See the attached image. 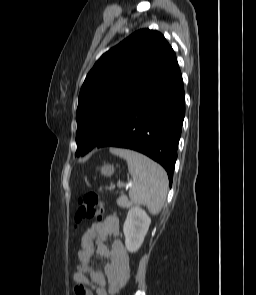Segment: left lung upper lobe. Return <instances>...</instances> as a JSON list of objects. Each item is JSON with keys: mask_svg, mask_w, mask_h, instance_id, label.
Instances as JSON below:
<instances>
[{"mask_svg": "<svg viewBox=\"0 0 256 295\" xmlns=\"http://www.w3.org/2000/svg\"><path fill=\"white\" fill-rule=\"evenodd\" d=\"M164 36L142 29L111 48L88 73L76 112V156L101 142L178 69Z\"/></svg>", "mask_w": 256, "mask_h": 295, "instance_id": "1", "label": "left lung upper lobe"}]
</instances>
